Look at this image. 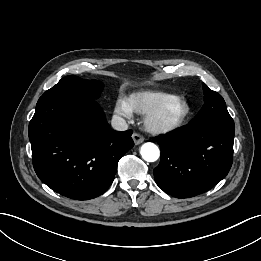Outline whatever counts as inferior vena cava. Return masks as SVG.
Wrapping results in <instances>:
<instances>
[{
    "instance_id": "obj_1",
    "label": "inferior vena cava",
    "mask_w": 261,
    "mask_h": 261,
    "mask_svg": "<svg viewBox=\"0 0 261 261\" xmlns=\"http://www.w3.org/2000/svg\"><path fill=\"white\" fill-rule=\"evenodd\" d=\"M111 125H112L113 129L117 130V131H125L128 129V124L125 121V119H123L122 117L117 116V115H114L112 117Z\"/></svg>"
}]
</instances>
